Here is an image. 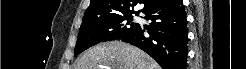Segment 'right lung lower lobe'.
Instances as JSON below:
<instances>
[{
	"instance_id": "obj_1",
	"label": "right lung lower lobe",
	"mask_w": 246,
	"mask_h": 69,
	"mask_svg": "<svg viewBox=\"0 0 246 69\" xmlns=\"http://www.w3.org/2000/svg\"><path fill=\"white\" fill-rule=\"evenodd\" d=\"M149 28L138 25L120 38L154 58L163 69H186L187 21L182 0H165L143 11ZM149 36H144V32Z\"/></svg>"
}]
</instances>
